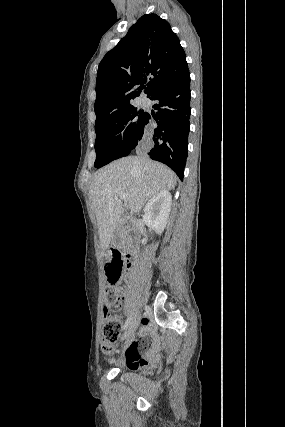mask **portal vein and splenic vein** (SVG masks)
Listing matches in <instances>:
<instances>
[{
  "label": "portal vein and splenic vein",
  "mask_w": 285,
  "mask_h": 427,
  "mask_svg": "<svg viewBox=\"0 0 285 427\" xmlns=\"http://www.w3.org/2000/svg\"><path fill=\"white\" fill-rule=\"evenodd\" d=\"M119 197H120L121 200H123L124 202H126V196H125V194L120 193Z\"/></svg>",
  "instance_id": "portal-vein-and-splenic-vein-1"
}]
</instances>
